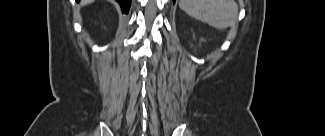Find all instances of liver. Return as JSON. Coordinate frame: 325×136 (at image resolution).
<instances>
[{
    "label": "liver",
    "instance_id": "6515ba94",
    "mask_svg": "<svg viewBox=\"0 0 325 136\" xmlns=\"http://www.w3.org/2000/svg\"><path fill=\"white\" fill-rule=\"evenodd\" d=\"M93 0H82L81 3L82 4H88L91 3Z\"/></svg>",
    "mask_w": 325,
    "mask_h": 136
}]
</instances>
